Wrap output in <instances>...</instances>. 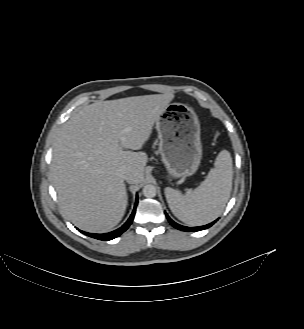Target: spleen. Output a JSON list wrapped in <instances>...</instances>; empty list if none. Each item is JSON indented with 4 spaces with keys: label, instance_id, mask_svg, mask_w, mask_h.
Instances as JSON below:
<instances>
[{
    "label": "spleen",
    "instance_id": "3e777b00",
    "mask_svg": "<svg viewBox=\"0 0 304 329\" xmlns=\"http://www.w3.org/2000/svg\"><path fill=\"white\" fill-rule=\"evenodd\" d=\"M233 179L232 158L227 150H222L206 179L187 195L177 190L165 188V196L171 212L180 221L199 226L216 219L229 200Z\"/></svg>",
    "mask_w": 304,
    "mask_h": 329
}]
</instances>
